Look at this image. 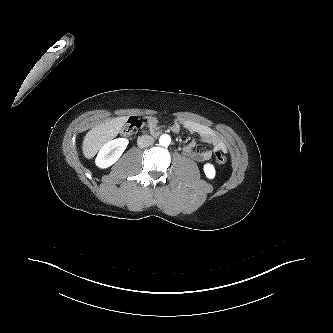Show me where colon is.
I'll return each instance as SVG.
<instances>
[{"mask_svg":"<svg viewBox=\"0 0 333 333\" xmlns=\"http://www.w3.org/2000/svg\"><path fill=\"white\" fill-rule=\"evenodd\" d=\"M147 125V119L138 118V117H130L125 126L121 130L122 136H131L133 135L139 128ZM215 163L219 166H223L227 162L226 156L222 153V151H216L214 153Z\"/></svg>","mask_w":333,"mask_h":333,"instance_id":"1","label":"colon"}]
</instances>
